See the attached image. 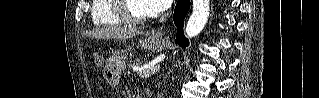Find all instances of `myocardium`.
I'll return each mask as SVG.
<instances>
[{"label":"myocardium","instance_id":"1","mask_svg":"<svg viewBox=\"0 0 319 98\" xmlns=\"http://www.w3.org/2000/svg\"><path fill=\"white\" fill-rule=\"evenodd\" d=\"M125 3V0H112L113 12L121 20L122 23L129 25H141L151 19V14H147L143 17H134L129 15L126 12Z\"/></svg>","mask_w":319,"mask_h":98}]
</instances>
